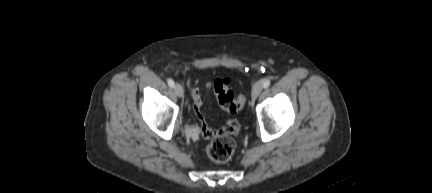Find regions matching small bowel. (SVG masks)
<instances>
[{"instance_id":"small-bowel-1","label":"small bowel","mask_w":432,"mask_h":193,"mask_svg":"<svg viewBox=\"0 0 432 193\" xmlns=\"http://www.w3.org/2000/svg\"><path fill=\"white\" fill-rule=\"evenodd\" d=\"M188 87L190 89L191 96H192L193 110L201 122V131H202V135L205 138H213L219 135L230 136V135H235L239 132L240 129L239 122L234 118L228 119L226 124L217 130H214L211 127H209L205 123L203 115L201 113V107L203 101H202V95L200 90L191 81L188 82ZM207 87L210 88L211 85L208 84Z\"/></svg>"}]
</instances>
